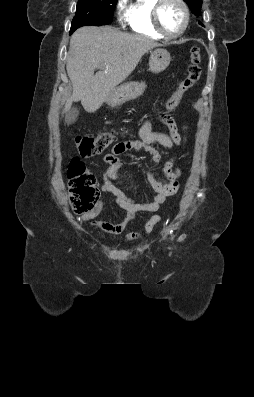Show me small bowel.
Returning <instances> with one entry per match:
<instances>
[{"mask_svg":"<svg viewBox=\"0 0 254 397\" xmlns=\"http://www.w3.org/2000/svg\"><path fill=\"white\" fill-rule=\"evenodd\" d=\"M161 121L168 128L169 133L154 132L152 130V120L146 119L139 129L140 139L120 142L113 146L110 152L104 156V162L108 167L102 171L103 184L100 191L102 194L110 195L114 202L125 211V218L116 224L94 220L100 214L103 207L102 200H99L95 207L90 212L82 215L79 220H91V225L96 229L109 236H116L126 229L129 223L134 219L136 213L156 212L168 197L177 192L179 188L178 178L181 175V169L175 166L174 157L169 159L163 167L168 183L163 184L156 180L151 170L146 172V179L156 193L154 197L136 200L127 196L122 190V188L128 186L138 190V186L135 184L128 185L119 174L122 167L120 155L132 150H143L150 155L151 165L154 167L161 159V155L155 148V145L173 149L183 144L185 137L180 132L175 120L163 113L161 115ZM182 129L186 130V126H183ZM159 221L160 217L158 215L152 216L145 224L143 233H129L127 235V240H137L143 235L150 234Z\"/></svg>","mask_w":254,"mask_h":397,"instance_id":"obj_1","label":"small bowel"}]
</instances>
